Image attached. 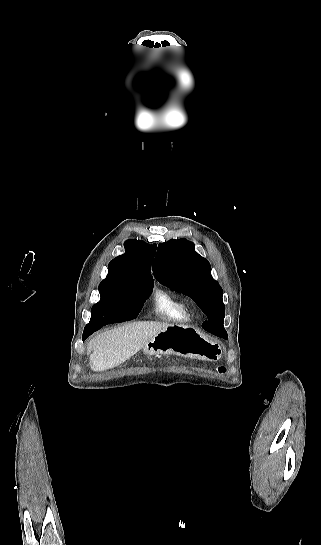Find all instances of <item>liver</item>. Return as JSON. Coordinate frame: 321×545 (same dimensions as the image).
<instances>
[{
  "label": "liver",
  "mask_w": 321,
  "mask_h": 545,
  "mask_svg": "<svg viewBox=\"0 0 321 545\" xmlns=\"http://www.w3.org/2000/svg\"><path fill=\"white\" fill-rule=\"evenodd\" d=\"M166 327L170 325L156 321H136L97 335L87 345L88 355L93 351L90 355V369L98 373L122 365Z\"/></svg>",
  "instance_id": "6515ba94"
}]
</instances>
